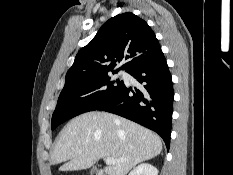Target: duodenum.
<instances>
[{
    "instance_id": "1",
    "label": "duodenum",
    "mask_w": 233,
    "mask_h": 175,
    "mask_svg": "<svg viewBox=\"0 0 233 175\" xmlns=\"http://www.w3.org/2000/svg\"><path fill=\"white\" fill-rule=\"evenodd\" d=\"M98 175H105V173L103 171H99Z\"/></svg>"
}]
</instances>
